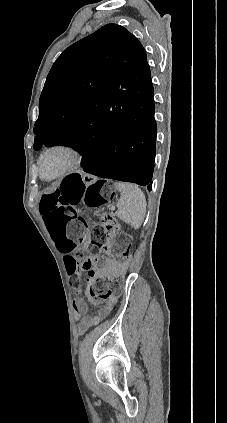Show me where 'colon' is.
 <instances>
[{"instance_id":"colon-1","label":"colon","mask_w":227,"mask_h":423,"mask_svg":"<svg viewBox=\"0 0 227 423\" xmlns=\"http://www.w3.org/2000/svg\"><path fill=\"white\" fill-rule=\"evenodd\" d=\"M115 191L104 182H91L80 175L66 177L60 186L46 192L40 201L39 210L57 248L65 254L64 262L73 290L81 286L82 274L86 273L87 296L98 305L118 295L122 288L120 277L106 280L96 275L93 270L94 256L107 247V232L116 228L113 215L103 213L100 222L91 232L89 256L77 257L73 253L83 241L87 233L83 218L78 215L77 207L84 203L89 207H99L113 199ZM130 237L123 233H115L111 249L117 262L126 264L131 258Z\"/></svg>"}]
</instances>
